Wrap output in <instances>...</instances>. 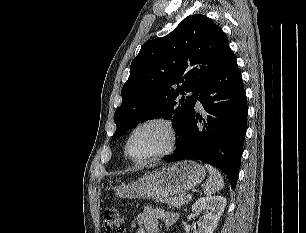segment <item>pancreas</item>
I'll use <instances>...</instances> for the list:
<instances>
[{
    "label": "pancreas",
    "instance_id": "obj_1",
    "mask_svg": "<svg viewBox=\"0 0 306 233\" xmlns=\"http://www.w3.org/2000/svg\"><path fill=\"white\" fill-rule=\"evenodd\" d=\"M156 202L166 203L169 207L181 208L184 204H188L189 200L184 194L174 197H168L163 199H157Z\"/></svg>",
    "mask_w": 306,
    "mask_h": 233
}]
</instances>
